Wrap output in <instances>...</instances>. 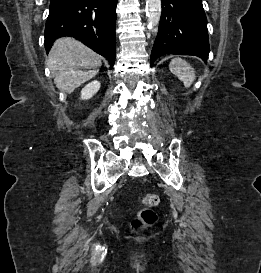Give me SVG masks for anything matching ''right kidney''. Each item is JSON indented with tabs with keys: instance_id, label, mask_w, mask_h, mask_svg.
<instances>
[{
	"instance_id": "1",
	"label": "right kidney",
	"mask_w": 261,
	"mask_h": 273,
	"mask_svg": "<svg viewBox=\"0 0 261 273\" xmlns=\"http://www.w3.org/2000/svg\"><path fill=\"white\" fill-rule=\"evenodd\" d=\"M100 89V82L99 81H92L87 84L81 91V99L88 100L92 98Z\"/></svg>"
}]
</instances>
